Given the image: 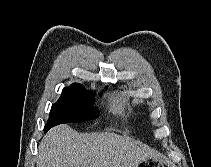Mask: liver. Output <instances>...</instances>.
Instances as JSON below:
<instances>
[{
    "mask_svg": "<svg viewBox=\"0 0 211 167\" xmlns=\"http://www.w3.org/2000/svg\"><path fill=\"white\" fill-rule=\"evenodd\" d=\"M152 155L149 148L114 133L81 134L61 125L44 136L37 167H135Z\"/></svg>",
    "mask_w": 211,
    "mask_h": 167,
    "instance_id": "1",
    "label": "liver"
}]
</instances>
